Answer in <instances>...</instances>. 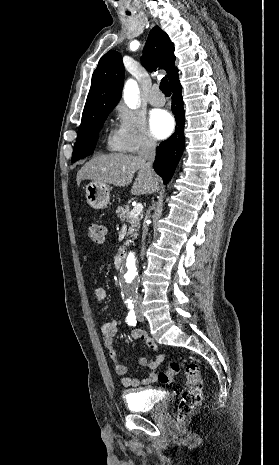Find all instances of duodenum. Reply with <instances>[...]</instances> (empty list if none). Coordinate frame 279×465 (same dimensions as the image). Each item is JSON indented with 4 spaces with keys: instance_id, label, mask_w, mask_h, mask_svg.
Listing matches in <instances>:
<instances>
[{
    "instance_id": "obj_1",
    "label": "duodenum",
    "mask_w": 279,
    "mask_h": 465,
    "mask_svg": "<svg viewBox=\"0 0 279 465\" xmlns=\"http://www.w3.org/2000/svg\"><path fill=\"white\" fill-rule=\"evenodd\" d=\"M124 256H125V251H124V249L120 250V251L116 254V256H115V258H114V263H115V265H116L117 268H120V267H121V265H122V263H123V260H124Z\"/></svg>"
}]
</instances>
